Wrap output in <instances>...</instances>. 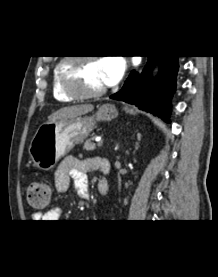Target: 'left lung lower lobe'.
<instances>
[{
  "instance_id": "obj_1",
  "label": "left lung lower lobe",
  "mask_w": 218,
  "mask_h": 277,
  "mask_svg": "<svg viewBox=\"0 0 218 277\" xmlns=\"http://www.w3.org/2000/svg\"><path fill=\"white\" fill-rule=\"evenodd\" d=\"M148 64L141 75L132 72L122 89L112 95V99L134 104L140 109L150 112L164 121L169 122L170 98L176 88L178 71L177 56H148ZM158 57L160 65L159 76L154 83L150 81L149 73Z\"/></svg>"
}]
</instances>
